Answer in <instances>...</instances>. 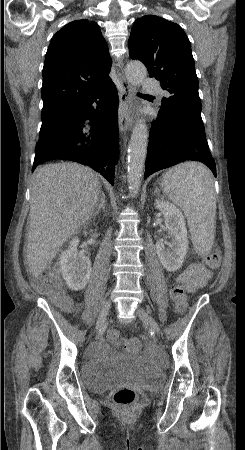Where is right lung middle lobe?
Here are the masks:
<instances>
[{
	"instance_id": "obj_1",
	"label": "right lung middle lobe",
	"mask_w": 245,
	"mask_h": 450,
	"mask_svg": "<svg viewBox=\"0 0 245 450\" xmlns=\"http://www.w3.org/2000/svg\"><path fill=\"white\" fill-rule=\"evenodd\" d=\"M57 111H53V112H42L41 114V119H42V126H44L46 124V120Z\"/></svg>"
}]
</instances>
